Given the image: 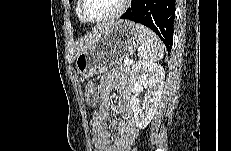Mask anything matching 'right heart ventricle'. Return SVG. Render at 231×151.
Returning <instances> with one entry per match:
<instances>
[{
	"label": "right heart ventricle",
	"mask_w": 231,
	"mask_h": 151,
	"mask_svg": "<svg viewBox=\"0 0 231 151\" xmlns=\"http://www.w3.org/2000/svg\"><path fill=\"white\" fill-rule=\"evenodd\" d=\"M78 10H79V6H77V13H79ZM78 16H79V14H78Z\"/></svg>",
	"instance_id": "obj_1"
}]
</instances>
